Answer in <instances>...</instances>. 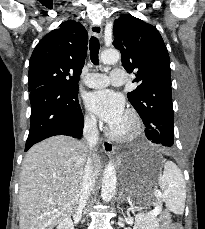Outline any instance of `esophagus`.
<instances>
[{
	"label": "esophagus",
	"instance_id": "obj_1",
	"mask_svg": "<svg viewBox=\"0 0 205 229\" xmlns=\"http://www.w3.org/2000/svg\"><path fill=\"white\" fill-rule=\"evenodd\" d=\"M91 34L102 39V26L98 23H93L90 27ZM103 150L107 156H111L115 152V146L109 140H103Z\"/></svg>",
	"mask_w": 205,
	"mask_h": 229
}]
</instances>
